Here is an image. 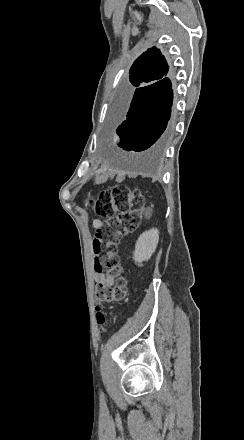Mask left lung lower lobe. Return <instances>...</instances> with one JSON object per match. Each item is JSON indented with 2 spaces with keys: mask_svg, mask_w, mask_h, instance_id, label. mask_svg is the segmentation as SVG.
I'll use <instances>...</instances> for the list:
<instances>
[{
  "mask_svg": "<svg viewBox=\"0 0 244 440\" xmlns=\"http://www.w3.org/2000/svg\"><path fill=\"white\" fill-rule=\"evenodd\" d=\"M173 90L169 78L135 90H127L118 100L116 118L121 124L117 134L120 147L127 151L159 149L167 138Z\"/></svg>",
  "mask_w": 244,
  "mask_h": 440,
  "instance_id": "obj_1",
  "label": "left lung lower lobe"
}]
</instances>
